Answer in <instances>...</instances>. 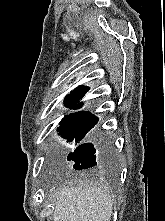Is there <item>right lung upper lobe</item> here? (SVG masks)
<instances>
[{
    "mask_svg": "<svg viewBox=\"0 0 165 221\" xmlns=\"http://www.w3.org/2000/svg\"><path fill=\"white\" fill-rule=\"evenodd\" d=\"M88 90H89V88L86 87V86H79V87H77L75 89V91L71 92V94L66 96L65 101H64L65 106L73 108V109L80 108L82 105L81 104H77L76 105V102H77V100L81 99ZM76 113L91 114L88 111H79V112H76Z\"/></svg>",
    "mask_w": 165,
    "mask_h": 221,
    "instance_id": "cb5924a9",
    "label": "right lung upper lobe"
}]
</instances>
